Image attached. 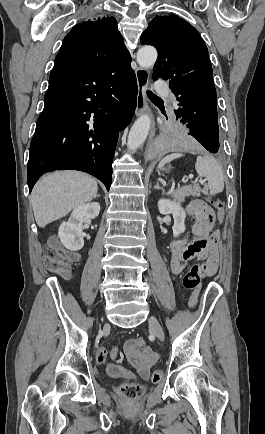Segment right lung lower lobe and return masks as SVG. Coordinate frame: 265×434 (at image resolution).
Segmentation results:
<instances>
[{"mask_svg": "<svg viewBox=\"0 0 265 434\" xmlns=\"http://www.w3.org/2000/svg\"><path fill=\"white\" fill-rule=\"evenodd\" d=\"M131 59L99 67H54L30 145L28 186L46 172L74 169L111 185L117 130L134 115L137 81Z\"/></svg>", "mask_w": 265, "mask_h": 434, "instance_id": "98d812e1", "label": "right lung lower lobe"}]
</instances>
